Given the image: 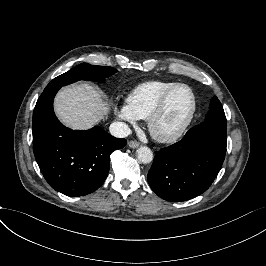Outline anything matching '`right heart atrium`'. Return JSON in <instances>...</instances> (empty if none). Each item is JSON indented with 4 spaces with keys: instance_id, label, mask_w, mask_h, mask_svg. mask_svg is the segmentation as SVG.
I'll use <instances>...</instances> for the list:
<instances>
[{
    "instance_id": "d8ad5b80",
    "label": "right heart atrium",
    "mask_w": 266,
    "mask_h": 266,
    "mask_svg": "<svg viewBox=\"0 0 266 266\" xmlns=\"http://www.w3.org/2000/svg\"><path fill=\"white\" fill-rule=\"evenodd\" d=\"M115 112L120 118L125 119L131 123H135L137 120L128 104H121L119 106H116Z\"/></svg>"
}]
</instances>
